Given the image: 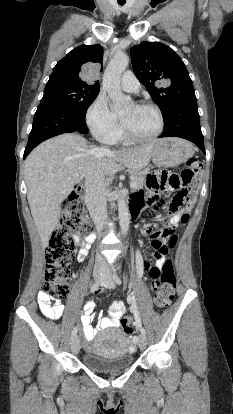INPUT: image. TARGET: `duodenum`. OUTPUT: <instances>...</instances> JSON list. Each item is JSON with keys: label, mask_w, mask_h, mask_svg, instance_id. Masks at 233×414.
<instances>
[{"label": "duodenum", "mask_w": 233, "mask_h": 414, "mask_svg": "<svg viewBox=\"0 0 233 414\" xmlns=\"http://www.w3.org/2000/svg\"><path fill=\"white\" fill-rule=\"evenodd\" d=\"M131 217H136L137 213L131 208V212H130Z\"/></svg>", "instance_id": "1"}]
</instances>
